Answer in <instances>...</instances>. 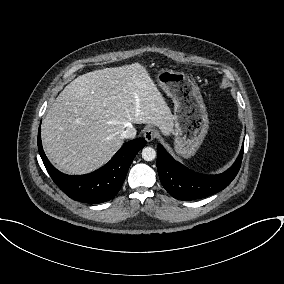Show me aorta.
<instances>
[{
    "instance_id": "1",
    "label": "aorta",
    "mask_w": 284,
    "mask_h": 284,
    "mask_svg": "<svg viewBox=\"0 0 284 284\" xmlns=\"http://www.w3.org/2000/svg\"><path fill=\"white\" fill-rule=\"evenodd\" d=\"M142 158L145 161H152L156 158V151L152 147H145L142 149Z\"/></svg>"
}]
</instances>
